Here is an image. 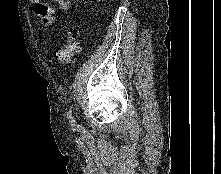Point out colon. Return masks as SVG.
Masks as SVG:
<instances>
[{"label":"colon","instance_id":"colon-1","mask_svg":"<svg viewBox=\"0 0 221 174\" xmlns=\"http://www.w3.org/2000/svg\"><path fill=\"white\" fill-rule=\"evenodd\" d=\"M76 37L77 30L74 27L68 28L67 37L63 45L54 53V58L58 63L70 64L75 61L76 54L79 51V46L75 41Z\"/></svg>","mask_w":221,"mask_h":174}]
</instances>
